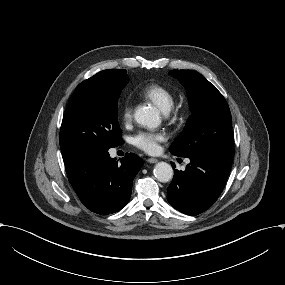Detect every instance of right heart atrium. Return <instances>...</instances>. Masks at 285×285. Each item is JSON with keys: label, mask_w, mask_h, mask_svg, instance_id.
Segmentation results:
<instances>
[{"label": "right heart atrium", "mask_w": 285, "mask_h": 285, "mask_svg": "<svg viewBox=\"0 0 285 285\" xmlns=\"http://www.w3.org/2000/svg\"><path fill=\"white\" fill-rule=\"evenodd\" d=\"M134 108H135L134 100L130 97L124 98L121 104L120 111H121L122 119L125 122H129L131 120Z\"/></svg>", "instance_id": "obj_1"}]
</instances>
